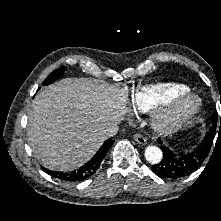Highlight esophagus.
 <instances>
[{"mask_svg": "<svg viewBox=\"0 0 221 221\" xmlns=\"http://www.w3.org/2000/svg\"><path fill=\"white\" fill-rule=\"evenodd\" d=\"M134 140L141 145H145L147 142L146 139L140 134H135Z\"/></svg>", "mask_w": 221, "mask_h": 221, "instance_id": "obj_1", "label": "esophagus"}]
</instances>
